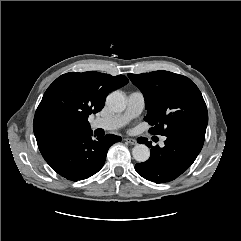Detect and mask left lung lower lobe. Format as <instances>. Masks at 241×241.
I'll return each mask as SVG.
<instances>
[{
  "instance_id": "obj_1",
  "label": "left lung lower lobe",
  "mask_w": 241,
  "mask_h": 241,
  "mask_svg": "<svg viewBox=\"0 0 241 241\" xmlns=\"http://www.w3.org/2000/svg\"><path fill=\"white\" fill-rule=\"evenodd\" d=\"M165 146H152L150 158L135 165V170L143 178L155 183H167L183 174L195 161L200 153L205 139V132L192 131L166 136Z\"/></svg>"
}]
</instances>
